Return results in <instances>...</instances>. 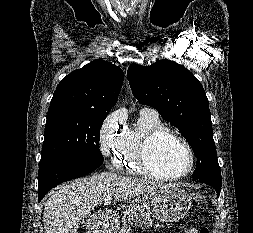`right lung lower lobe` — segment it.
<instances>
[{
    "label": "right lung lower lobe",
    "mask_w": 253,
    "mask_h": 233,
    "mask_svg": "<svg viewBox=\"0 0 253 233\" xmlns=\"http://www.w3.org/2000/svg\"><path fill=\"white\" fill-rule=\"evenodd\" d=\"M102 162L74 159H53L39 165L38 201L62 182L82 177L97 169Z\"/></svg>",
    "instance_id": "1"
}]
</instances>
